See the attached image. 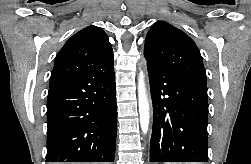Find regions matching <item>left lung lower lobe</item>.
Wrapping results in <instances>:
<instances>
[{
  "label": "left lung lower lobe",
  "instance_id": "1",
  "mask_svg": "<svg viewBox=\"0 0 251 164\" xmlns=\"http://www.w3.org/2000/svg\"><path fill=\"white\" fill-rule=\"evenodd\" d=\"M153 105L150 162H208L206 84L147 64Z\"/></svg>",
  "mask_w": 251,
  "mask_h": 164
}]
</instances>
